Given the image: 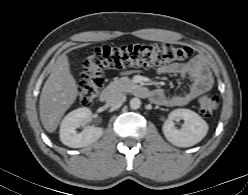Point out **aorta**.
Returning <instances> with one entry per match:
<instances>
[{
  "instance_id": "762f6f07",
  "label": "aorta",
  "mask_w": 248,
  "mask_h": 195,
  "mask_svg": "<svg viewBox=\"0 0 248 195\" xmlns=\"http://www.w3.org/2000/svg\"><path fill=\"white\" fill-rule=\"evenodd\" d=\"M140 106H141V101H140L139 98H136V97H135V98H132V99L130 100V107H131L132 109H134V110L139 109Z\"/></svg>"
}]
</instances>
